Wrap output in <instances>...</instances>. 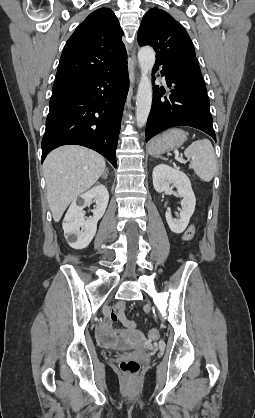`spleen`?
I'll return each instance as SVG.
<instances>
[{
	"mask_svg": "<svg viewBox=\"0 0 255 418\" xmlns=\"http://www.w3.org/2000/svg\"><path fill=\"white\" fill-rule=\"evenodd\" d=\"M185 156L190 160V168L204 182H210L216 172L217 161L212 143L208 139H201L189 145Z\"/></svg>",
	"mask_w": 255,
	"mask_h": 418,
	"instance_id": "obj_1",
	"label": "spleen"
}]
</instances>
